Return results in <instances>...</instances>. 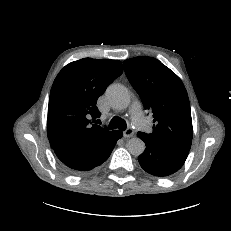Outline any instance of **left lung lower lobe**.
Listing matches in <instances>:
<instances>
[{
  "label": "left lung lower lobe",
  "mask_w": 231,
  "mask_h": 231,
  "mask_svg": "<svg viewBox=\"0 0 231 231\" xmlns=\"http://www.w3.org/2000/svg\"><path fill=\"white\" fill-rule=\"evenodd\" d=\"M146 145L138 157L140 166L154 176H168L178 171L184 164L189 150L162 143H155L137 133Z\"/></svg>",
  "instance_id": "obj_1"
}]
</instances>
